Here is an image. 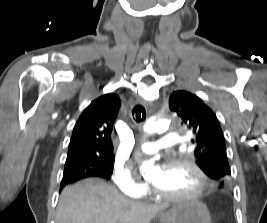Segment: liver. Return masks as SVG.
I'll use <instances>...</instances> for the list:
<instances>
[{
  "instance_id": "obj_1",
  "label": "liver",
  "mask_w": 267,
  "mask_h": 223,
  "mask_svg": "<svg viewBox=\"0 0 267 223\" xmlns=\"http://www.w3.org/2000/svg\"><path fill=\"white\" fill-rule=\"evenodd\" d=\"M168 206L129 200L105 181L89 178L63 189L57 223H150Z\"/></svg>"
}]
</instances>
